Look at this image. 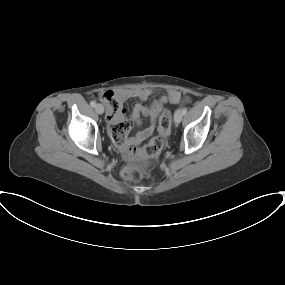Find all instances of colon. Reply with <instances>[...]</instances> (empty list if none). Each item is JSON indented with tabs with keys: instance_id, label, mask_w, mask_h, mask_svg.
Wrapping results in <instances>:
<instances>
[{
	"instance_id": "obj_1",
	"label": "colon",
	"mask_w": 285,
	"mask_h": 285,
	"mask_svg": "<svg viewBox=\"0 0 285 285\" xmlns=\"http://www.w3.org/2000/svg\"><path fill=\"white\" fill-rule=\"evenodd\" d=\"M107 111L117 113L121 110V102L111 93H105L102 96ZM172 126L170 111H165L159 120L158 135L149 140L143 147H130L127 154L131 158H140L141 162L137 165L128 166L124 169L123 175L132 181H139L149 176L152 169L150 158L157 156L164 147V139L169 134ZM112 140L119 146H122L128 136L130 125L126 121L118 122L109 126Z\"/></svg>"
}]
</instances>
